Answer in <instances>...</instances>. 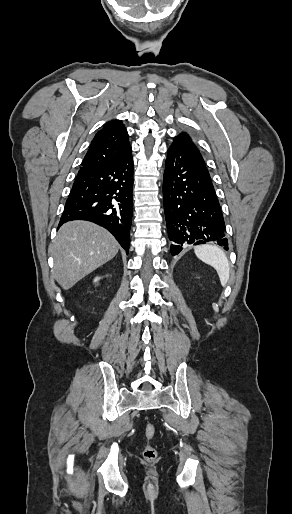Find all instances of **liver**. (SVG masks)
Segmentation results:
<instances>
[{
	"mask_svg": "<svg viewBox=\"0 0 292 514\" xmlns=\"http://www.w3.org/2000/svg\"><path fill=\"white\" fill-rule=\"evenodd\" d=\"M114 236L92 222H67L49 252L54 256L53 278L63 290L73 288L87 274L118 254Z\"/></svg>",
	"mask_w": 292,
	"mask_h": 514,
	"instance_id": "1",
	"label": "liver"
}]
</instances>
